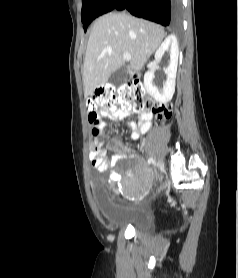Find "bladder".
<instances>
[{
	"label": "bladder",
	"mask_w": 238,
	"mask_h": 278,
	"mask_svg": "<svg viewBox=\"0 0 238 278\" xmlns=\"http://www.w3.org/2000/svg\"><path fill=\"white\" fill-rule=\"evenodd\" d=\"M96 199H99L100 210L107 226L112 229L133 228L140 233H150L154 229L153 218L150 212L134 204H124L123 202H112L102 193L101 187H96Z\"/></svg>",
	"instance_id": "bladder-1"
}]
</instances>
